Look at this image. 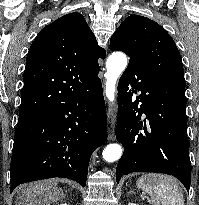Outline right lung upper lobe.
<instances>
[{
    "label": "right lung upper lobe",
    "instance_id": "obj_1",
    "mask_svg": "<svg viewBox=\"0 0 199 205\" xmlns=\"http://www.w3.org/2000/svg\"><path fill=\"white\" fill-rule=\"evenodd\" d=\"M99 47L84 17L66 14L44 27L26 58L19 121L34 117L98 78Z\"/></svg>",
    "mask_w": 199,
    "mask_h": 205
}]
</instances>
